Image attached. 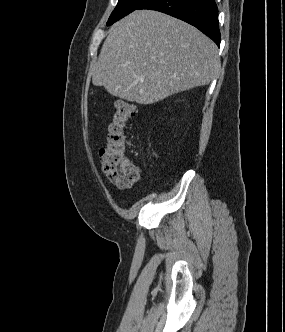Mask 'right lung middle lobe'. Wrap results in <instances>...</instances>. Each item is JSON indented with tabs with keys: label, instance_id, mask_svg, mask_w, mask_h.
Returning a JSON list of instances; mask_svg holds the SVG:
<instances>
[{
	"label": "right lung middle lobe",
	"instance_id": "dd1d6c3e",
	"mask_svg": "<svg viewBox=\"0 0 285 332\" xmlns=\"http://www.w3.org/2000/svg\"><path fill=\"white\" fill-rule=\"evenodd\" d=\"M146 1L147 0H119L116 8L109 17L107 25H111L120 18L128 15Z\"/></svg>",
	"mask_w": 285,
	"mask_h": 332
}]
</instances>
